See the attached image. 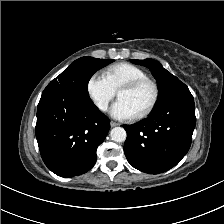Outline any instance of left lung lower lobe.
I'll return each instance as SVG.
<instances>
[{
    "label": "left lung lower lobe",
    "instance_id": "1",
    "mask_svg": "<svg viewBox=\"0 0 224 224\" xmlns=\"http://www.w3.org/2000/svg\"><path fill=\"white\" fill-rule=\"evenodd\" d=\"M196 125L194 98L186 94L164 106L137 124L124 125L127 139L124 153L136 169L158 174L175 165L188 152Z\"/></svg>",
    "mask_w": 224,
    "mask_h": 224
}]
</instances>
